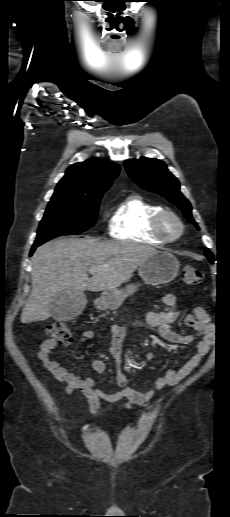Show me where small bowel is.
<instances>
[{"label": "small bowel", "mask_w": 230, "mask_h": 517, "mask_svg": "<svg viewBox=\"0 0 230 517\" xmlns=\"http://www.w3.org/2000/svg\"><path fill=\"white\" fill-rule=\"evenodd\" d=\"M161 302L167 307L162 312H151L148 314L146 323L133 321L131 326L147 327L155 331L161 338L169 343L176 345H188L194 342V352L188 360L178 369H169L164 374L153 380V387L138 391L129 382L122 367V348L126 335V326L112 325L109 328L110 343L108 352L112 355L116 363V382L120 386L121 391L115 393H107L97 388L92 374H103L106 369V363L101 360H95L90 366V370L86 374H75L69 372L59 362L52 357V352L59 347L58 342L54 338L45 339L38 352V359L42 362L44 368L50 372L60 383L64 385L65 393L71 394L74 390H79L87 399L91 414H97L101 408V401L108 403H116L121 399H126L125 409H131L133 405L146 406L153 399L157 390L168 386H176L186 377H188L209 354L215 343L216 328L210 321L208 313L195 304L190 306V313L185 316L184 323L192 329L193 333L189 335L180 334L171 329V324L180 316V310L176 305V298L173 294H166L161 298ZM94 337L91 329H86L82 333L81 341L86 342ZM148 360L156 358L155 352L146 354Z\"/></svg>", "instance_id": "obj_1"}]
</instances>
